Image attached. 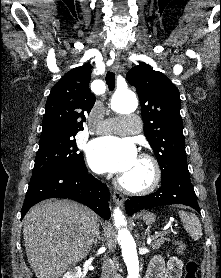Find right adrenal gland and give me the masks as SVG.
Here are the masks:
<instances>
[{"label": "right adrenal gland", "instance_id": "1", "mask_svg": "<svg viewBox=\"0 0 221 278\" xmlns=\"http://www.w3.org/2000/svg\"><path fill=\"white\" fill-rule=\"evenodd\" d=\"M100 232H99V229L97 230V233H96V236H95V239L93 241L94 245L96 246L98 241L100 240Z\"/></svg>", "mask_w": 221, "mask_h": 278}]
</instances>
